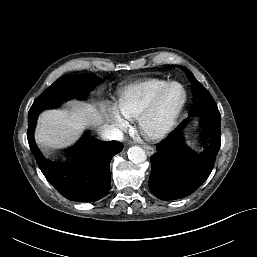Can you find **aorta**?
Wrapping results in <instances>:
<instances>
[{"mask_svg":"<svg viewBox=\"0 0 257 257\" xmlns=\"http://www.w3.org/2000/svg\"><path fill=\"white\" fill-rule=\"evenodd\" d=\"M128 158L136 164L142 163L147 159L145 151L139 146H132L129 148Z\"/></svg>","mask_w":257,"mask_h":257,"instance_id":"aorta-1","label":"aorta"}]
</instances>
